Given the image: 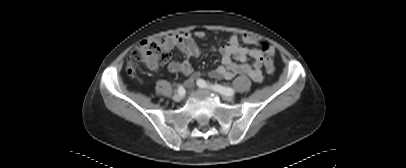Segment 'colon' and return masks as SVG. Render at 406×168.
<instances>
[{
  "label": "colon",
  "mask_w": 406,
  "mask_h": 168,
  "mask_svg": "<svg viewBox=\"0 0 406 168\" xmlns=\"http://www.w3.org/2000/svg\"><path fill=\"white\" fill-rule=\"evenodd\" d=\"M262 51L266 54L264 57V66L268 74L275 72V65L269 56L270 47L265 42H260ZM170 58L169 50L163 37H150L143 40L135 46L129 54L127 71L134 74L138 63H144L149 66L161 65L166 63Z\"/></svg>",
  "instance_id": "obj_1"
}]
</instances>
